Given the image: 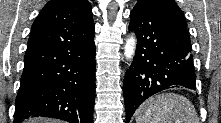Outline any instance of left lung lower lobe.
<instances>
[{
  "instance_id": "0a47b994",
  "label": "left lung lower lobe",
  "mask_w": 221,
  "mask_h": 123,
  "mask_svg": "<svg viewBox=\"0 0 221 123\" xmlns=\"http://www.w3.org/2000/svg\"><path fill=\"white\" fill-rule=\"evenodd\" d=\"M130 18L137 48L124 78L126 123L138 106L157 92L174 87L196 89L187 29L155 15L141 2Z\"/></svg>"
}]
</instances>
